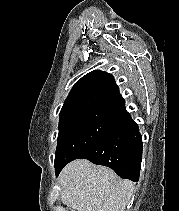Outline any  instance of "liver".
<instances>
[{
    "instance_id": "liver-1",
    "label": "liver",
    "mask_w": 179,
    "mask_h": 211,
    "mask_svg": "<svg viewBox=\"0 0 179 211\" xmlns=\"http://www.w3.org/2000/svg\"><path fill=\"white\" fill-rule=\"evenodd\" d=\"M61 200L73 211H125L134 183L88 160H74L60 173Z\"/></svg>"
}]
</instances>
